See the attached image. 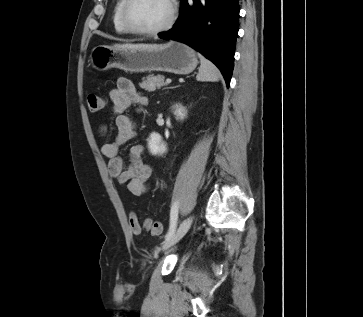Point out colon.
Here are the masks:
<instances>
[{"instance_id":"1","label":"colon","mask_w":363,"mask_h":317,"mask_svg":"<svg viewBox=\"0 0 363 317\" xmlns=\"http://www.w3.org/2000/svg\"><path fill=\"white\" fill-rule=\"evenodd\" d=\"M86 102H87L88 110L91 113L99 112L103 108V105H104L103 99L96 94H89L87 96ZM129 225H130L131 231L134 234H139L142 231V227L140 225V222H139L138 217L135 212H131L129 214ZM143 229L152 234L158 235L162 231V225L158 221H154L152 219L147 218L143 222Z\"/></svg>"}]
</instances>
